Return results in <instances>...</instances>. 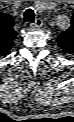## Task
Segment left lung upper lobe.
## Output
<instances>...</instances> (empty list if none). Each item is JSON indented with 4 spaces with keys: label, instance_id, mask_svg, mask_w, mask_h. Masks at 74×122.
I'll return each mask as SVG.
<instances>
[{
    "label": "left lung upper lobe",
    "instance_id": "1",
    "mask_svg": "<svg viewBox=\"0 0 74 122\" xmlns=\"http://www.w3.org/2000/svg\"><path fill=\"white\" fill-rule=\"evenodd\" d=\"M56 40L64 52L74 53V14L71 19V27L62 33Z\"/></svg>",
    "mask_w": 74,
    "mask_h": 122
}]
</instances>
